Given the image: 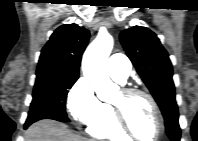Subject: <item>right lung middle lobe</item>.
I'll list each match as a JSON object with an SVG mask.
<instances>
[{"mask_svg": "<svg viewBox=\"0 0 198 141\" xmlns=\"http://www.w3.org/2000/svg\"><path fill=\"white\" fill-rule=\"evenodd\" d=\"M76 75H37L33 100L25 125L40 119L69 122L65 111L68 89L77 81Z\"/></svg>", "mask_w": 198, "mask_h": 141, "instance_id": "dd1d6c3e", "label": "right lung middle lobe"}]
</instances>
